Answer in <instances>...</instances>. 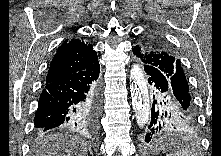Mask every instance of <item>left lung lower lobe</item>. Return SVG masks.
Returning <instances> with one entry per match:
<instances>
[{"mask_svg": "<svg viewBox=\"0 0 221 156\" xmlns=\"http://www.w3.org/2000/svg\"><path fill=\"white\" fill-rule=\"evenodd\" d=\"M144 70L149 84L144 141L149 143L192 128L196 119L195 112L187 110L176 99L170 74L152 66H144Z\"/></svg>", "mask_w": 221, "mask_h": 156, "instance_id": "0a47b994", "label": "left lung lower lobe"}]
</instances>
